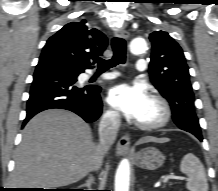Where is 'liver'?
Here are the masks:
<instances>
[{
    "label": "liver",
    "mask_w": 218,
    "mask_h": 191,
    "mask_svg": "<svg viewBox=\"0 0 218 191\" xmlns=\"http://www.w3.org/2000/svg\"><path fill=\"white\" fill-rule=\"evenodd\" d=\"M143 137L138 143L168 142ZM97 145L90 126L76 114L50 109L25 126L15 153L12 184L18 188L63 187L83 179L94 169Z\"/></svg>",
    "instance_id": "obj_1"
}]
</instances>
